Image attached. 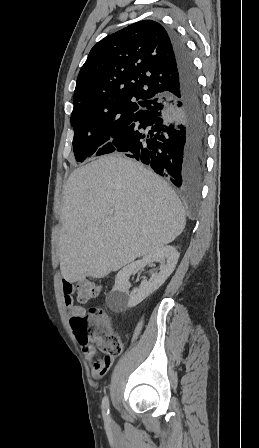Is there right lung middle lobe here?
Instances as JSON below:
<instances>
[{"label":"right lung middle lobe","mask_w":259,"mask_h":448,"mask_svg":"<svg viewBox=\"0 0 259 448\" xmlns=\"http://www.w3.org/2000/svg\"><path fill=\"white\" fill-rule=\"evenodd\" d=\"M144 106L132 105L105 112H83L71 115L74 129L73 149L77 161L91 155L111 153L112 141L143 111Z\"/></svg>","instance_id":"obj_1"}]
</instances>
